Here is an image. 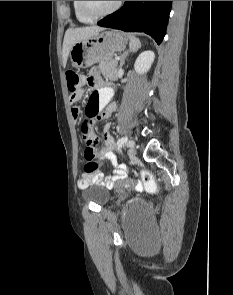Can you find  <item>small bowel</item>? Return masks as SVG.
I'll return each mask as SVG.
<instances>
[{
	"mask_svg": "<svg viewBox=\"0 0 233 295\" xmlns=\"http://www.w3.org/2000/svg\"><path fill=\"white\" fill-rule=\"evenodd\" d=\"M86 81L93 85L96 90L91 94L88 104L86 107V115L90 118H94L97 122L108 120L112 113L116 109L114 103H109L112 96V89L104 88L100 86L98 80V74L96 71H91ZM83 97V92L76 97H70L72 103H76ZM72 116L75 120L79 119L83 113L79 106H73L71 108ZM103 145L101 147L102 157L104 160L109 161L111 165L115 168L113 176H104L101 171L96 170L93 173L83 175L77 182L80 189H85L92 184L110 185L116 180L125 177V172L123 169L117 166L116 157L112 153V148L114 147V140L110 133V124L106 123L102 132Z\"/></svg>",
	"mask_w": 233,
	"mask_h": 295,
	"instance_id": "1",
	"label": "small bowel"
}]
</instances>
